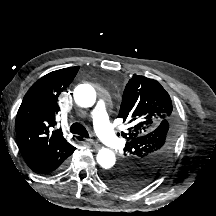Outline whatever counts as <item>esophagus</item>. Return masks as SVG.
<instances>
[{"label":"esophagus","instance_id":"34e87169","mask_svg":"<svg viewBox=\"0 0 216 216\" xmlns=\"http://www.w3.org/2000/svg\"><path fill=\"white\" fill-rule=\"evenodd\" d=\"M75 139H76L77 142H86V143L91 144V145H93L95 147H99V144L96 141L92 140V139H85V138H83L81 136H77V137H75Z\"/></svg>","mask_w":216,"mask_h":216}]
</instances>
